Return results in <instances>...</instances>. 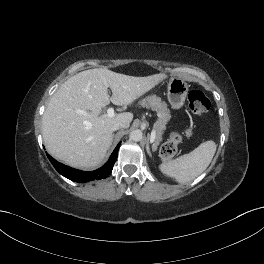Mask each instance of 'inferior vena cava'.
<instances>
[{"label": "inferior vena cava", "instance_id": "1", "mask_svg": "<svg viewBox=\"0 0 264 264\" xmlns=\"http://www.w3.org/2000/svg\"><path fill=\"white\" fill-rule=\"evenodd\" d=\"M122 128H126V124L125 123H116L112 126V131H116Z\"/></svg>", "mask_w": 264, "mask_h": 264}]
</instances>
